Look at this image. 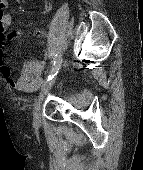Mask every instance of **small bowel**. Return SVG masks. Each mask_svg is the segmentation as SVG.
<instances>
[{
    "label": "small bowel",
    "instance_id": "c3829d8e",
    "mask_svg": "<svg viewBox=\"0 0 143 170\" xmlns=\"http://www.w3.org/2000/svg\"><path fill=\"white\" fill-rule=\"evenodd\" d=\"M19 1V0H17ZM14 24V20L9 14L0 15V72L4 79L12 88L22 92H33L37 90L42 83V72L44 64L36 59L27 60L20 71L18 78H14L12 71L3 57V44L15 37L24 35H39L38 31H14L8 32V29ZM43 45L44 41L41 40Z\"/></svg>",
    "mask_w": 143,
    "mask_h": 170
}]
</instances>
